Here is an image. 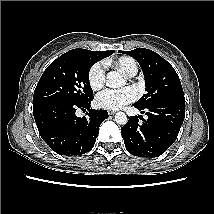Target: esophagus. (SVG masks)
<instances>
[{
  "instance_id": "34e87169",
  "label": "esophagus",
  "mask_w": 214,
  "mask_h": 214,
  "mask_svg": "<svg viewBox=\"0 0 214 214\" xmlns=\"http://www.w3.org/2000/svg\"><path fill=\"white\" fill-rule=\"evenodd\" d=\"M108 113H109V115H114L116 112L115 111H109Z\"/></svg>"
}]
</instances>
